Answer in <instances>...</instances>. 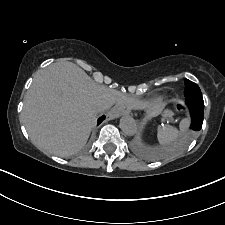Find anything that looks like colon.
I'll use <instances>...</instances> for the list:
<instances>
[{
  "label": "colon",
  "instance_id": "colon-1",
  "mask_svg": "<svg viewBox=\"0 0 225 225\" xmlns=\"http://www.w3.org/2000/svg\"><path fill=\"white\" fill-rule=\"evenodd\" d=\"M177 109L178 110H183L184 109V104L183 103H178L177 104Z\"/></svg>",
  "mask_w": 225,
  "mask_h": 225
}]
</instances>
